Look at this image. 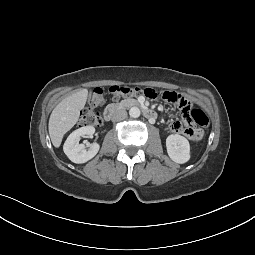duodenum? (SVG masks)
I'll return each instance as SVG.
<instances>
[{"instance_id":"duodenum-1","label":"duodenum","mask_w":255,"mask_h":255,"mask_svg":"<svg viewBox=\"0 0 255 255\" xmlns=\"http://www.w3.org/2000/svg\"><path fill=\"white\" fill-rule=\"evenodd\" d=\"M125 106L141 108L143 114L149 120H154L156 118V113L152 109L144 106L141 102L137 100H128L123 104H110L109 106H107L103 113L104 119L106 121L111 120L117 114V112Z\"/></svg>"}]
</instances>
